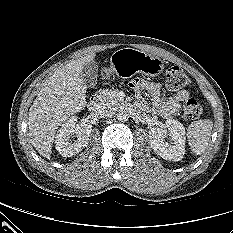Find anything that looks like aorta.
<instances>
[{"label": "aorta", "instance_id": "aorta-1", "mask_svg": "<svg viewBox=\"0 0 233 233\" xmlns=\"http://www.w3.org/2000/svg\"><path fill=\"white\" fill-rule=\"evenodd\" d=\"M117 119L120 122H127L129 119V113L126 110H120L117 114Z\"/></svg>", "mask_w": 233, "mask_h": 233}]
</instances>
